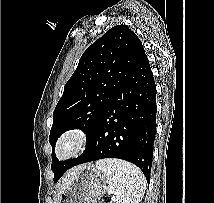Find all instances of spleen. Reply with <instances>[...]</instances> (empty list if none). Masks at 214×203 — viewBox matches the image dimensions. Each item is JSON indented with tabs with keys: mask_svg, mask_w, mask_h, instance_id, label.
I'll return each mask as SVG.
<instances>
[{
	"mask_svg": "<svg viewBox=\"0 0 214 203\" xmlns=\"http://www.w3.org/2000/svg\"><path fill=\"white\" fill-rule=\"evenodd\" d=\"M96 168L109 180L108 194L116 203H139L145 193L146 179L136 166L117 159L96 162Z\"/></svg>",
	"mask_w": 214,
	"mask_h": 203,
	"instance_id": "spleen-1",
	"label": "spleen"
}]
</instances>
